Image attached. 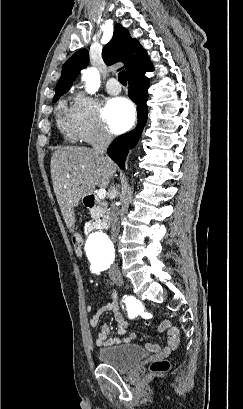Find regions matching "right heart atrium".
Segmentation results:
<instances>
[{"label": "right heart atrium", "instance_id": "1", "mask_svg": "<svg viewBox=\"0 0 243 409\" xmlns=\"http://www.w3.org/2000/svg\"><path fill=\"white\" fill-rule=\"evenodd\" d=\"M71 120L76 139L92 143H104L111 139L99 113L95 100L78 92L71 107Z\"/></svg>", "mask_w": 243, "mask_h": 409}]
</instances>
